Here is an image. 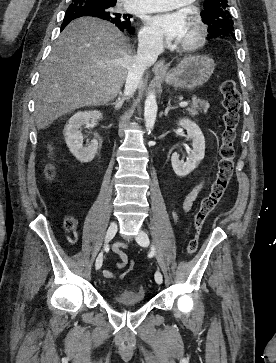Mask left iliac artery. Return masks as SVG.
<instances>
[{
	"mask_svg": "<svg viewBox=\"0 0 276 363\" xmlns=\"http://www.w3.org/2000/svg\"><path fill=\"white\" fill-rule=\"evenodd\" d=\"M152 252L154 253V248H152Z\"/></svg>",
	"mask_w": 276,
	"mask_h": 363,
	"instance_id": "obj_1",
	"label": "left iliac artery"
}]
</instances>
